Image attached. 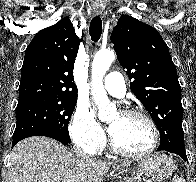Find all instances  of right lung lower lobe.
I'll list each match as a JSON object with an SVG mask.
<instances>
[{
  "instance_id": "1",
  "label": "right lung lower lobe",
  "mask_w": 196,
  "mask_h": 182,
  "mask_svg": "<svg viewBox=\"0 0 196 182\" xmlns=\"http://www.w3.org/2000/svg\"><path fill=\"white\" fill-rule=\"evenodd\" d=\"M31 136H46V137H50L53 139L58 140L59 142H61L64 145H68L70 142L65 140L63 137H61L60 135L56 134V133H52V132H35V133H31L28 135H24L21 137H18L16 139L13 140L12 142V147L17 144L20 140L25 139L27 137H31Z\"/></svg>"
}]
</instances>
